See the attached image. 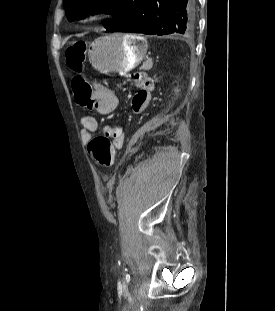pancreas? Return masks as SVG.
<instances>
[{
  "label": "pancreas",
  "instance_id": "cf45deb5",
  "mask_svg": "<svg viewBox=\"0 0 275 311\" xmlns=\"http://www.w3.org/2000/svg\"><path fill=\"white\" fill-rule=\"evenodd\" d=\"M147 68V61L143 63L140 69H146Z\"/></svg>",
  "mask_w": 275,
  "mask_h": 311
}]
</instances>
